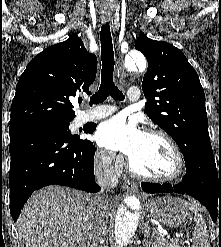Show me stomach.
Segmentation results:
<instances>
[{"mask_svg": "<svg viewBox=\"0 0 221 247\" xmlns=\"http://www.w3.org/2000/svg\"><path fill=\"white\" fill-rule=\"evenodd\" d=\"M147 208L152 217L168 227L182 225L189 216V207L185 200L164 196L148 200Z\"/></svg>", "mask_w": 221, "mask_h": 247, "instance_id": "obj_1", "label": "stomach"}]
</instances>
